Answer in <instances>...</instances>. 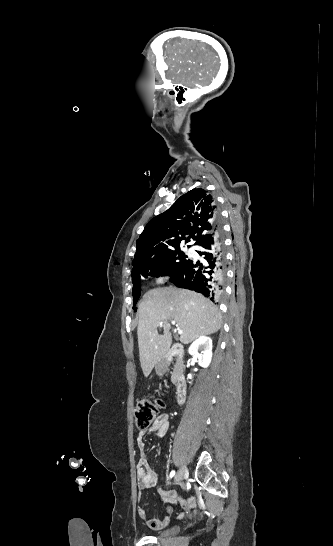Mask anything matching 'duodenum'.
Segmentation results:
<instances>
[{
    "label": "duodenum",
    "mask_w": 333,
    "mask_h": 546,
    "mask_svg": "<svg viewBox=\"0 0 333 546\" xmlns=\"http://www.w3.org/2000/svg\"><path fill=\"white\" fill-rule=\"evenodd\" d=\"M184 350L183 347L180 345H172L170 349L167 352L166 358L168 360L175 359L176 360V366L174 370V376H175V393H176V400L177 403L181 404L185 401L187 396V382L185 377L181 374L180 371V362L183 358Z\"/></svg>",
    "instance_id": "1"
}]
</instances>
